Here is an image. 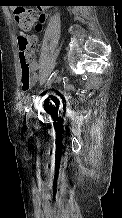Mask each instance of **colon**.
I'll list each match as a JSON object with an SVG mask.
<instances>
[{"label":"colon","mask_w":122,"mask_h":218,"mask_svg":"<svg viewBox=\"0 0 122 218\" xmlns=\"http://www.w3.org/2000/svg\"><path fill=\"white\" fill-rule=\"evenodd\" d=\"M12 17L21 31L18 38L20 83L21 88L24 91H27L33 85V73L30 60L32 49L34 47V38L29 34V32L33 28L40 31L46 17L44 14H38L35 11L24 9H15L12 12Z\"/></svg>","instance_id":"obj_1"}]
</instances>
